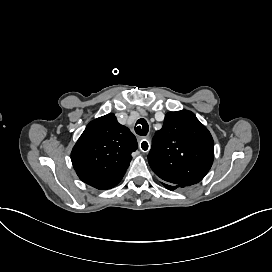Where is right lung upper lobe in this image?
I'll list each match as a JSON object with an SVG mask.
<instances>
[{
  "instance_id": "obj_1",
  "label": "right lung upper lobe",
  "mask_w": 272,
  "mask_h": 272,
  "mask_svg": "<svg viewBox=\"0 0 272 272\" xmlns=\"http://www.w3.org/2000/svg\"><path fill=\"white\" fill-rule=\"evenodd\" d=\"M138 148L136 137L114 114L91 121L71 152L79 178L99 190L111 189L123 178Z\"/></svg>"
}]
</instances>
